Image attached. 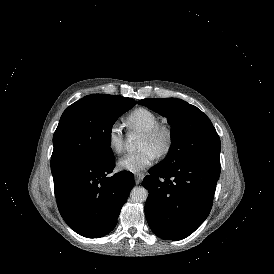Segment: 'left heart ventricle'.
I'll return each mask as SVG.
<instances>
[{
    "mask_svg": "<svg viewBox=\"0 0 274 274\" xmlns=\"http://www.w3.org/2000/svg\"><path fill=\"white\" fill-rule=\"evenodd\" d=\"M162 144H163L162 139L152 141V140L148 139L146 136L143 135V137H142V139L140 140V143H139V148L147 147V148H150L155 153H157L158 149L161 147Z\"/></svg>",
    "mask_w": 274,
    "mask_h": 274,
    "instance_id": "1",
    "label": "left heart ventricle"
}]
</instances>
